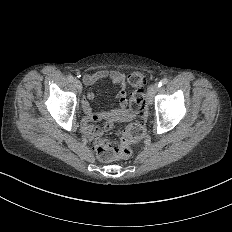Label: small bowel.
Segmentation results:
<instances>
[{
    "instance_id": "1",
    "label": "small bowel",
    "mask_w": 232,
    "mask_h": 232,
    "mask_svg": "<svg viewBox=\"0 0 232 232\" xmlns=\"http://www.w3.org/2000/svg\"><path fill=\"white\" fill-rule=\"evenodd\" d=\"M109 79L118 87L119 108L108 111H96L92 106L94 93L80 90L78 103L82 112L77 127L78 135L83 141L92 142L114 127L115 121L127 120L131 117V108L128 100V84L125 75L118 69H100L93 75L82 74L79 78L81 86H88L97 81Z\"/></svg>"
}]
</instances>
